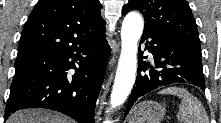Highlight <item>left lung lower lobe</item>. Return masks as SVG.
Masks as SVG:
<instances>
[{"instance_id":"obj_1","label":"left lung lower lobe","mask_w":221,"mask_h":123,"mask_svg":"<svg viewBox=\"0 0 221 123\" xmlns=\"http://www.w3.org/2000/svg\"><path fill=\"white\" fill-rule=\"evenodd\" d=\"M154 55V63L138 58V75L128 100L125 116L133 104L143 95L168 84L184 82L205 90L201 62V48L175 41L157 32L144 29L141 43ZM140 51V50H139Z\"/></svg>"}]
</instances>
